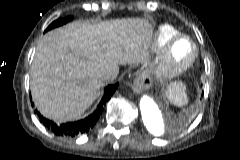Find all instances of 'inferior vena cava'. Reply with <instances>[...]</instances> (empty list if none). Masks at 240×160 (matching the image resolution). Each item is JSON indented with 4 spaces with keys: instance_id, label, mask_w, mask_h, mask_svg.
<instances>
[{
    "instance_id": "1",
    "label": "inferior vena cava",
    "mask_w": 240,
    "mask_h": 160,
    "mask_svg": "<svg viewBox=\"0 0 240 160\" xmlns=\"http://www.w3.org/2000/svg\"><path fill=\"white\" fill-rule=\"evenodd\" d=\"M115 78H116V75L114 73H105L102 75L103 80H111Z\"/></svg>"
}]
</instances>
